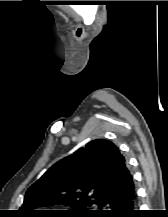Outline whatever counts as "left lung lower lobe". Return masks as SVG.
Instances as JSON below:
<instances>
[{
  "label": "left lung lower lobe",
  "mask_w": 168,
  "mask_h": 217,
  "mask_svg": "<svg viewBox=\"0 0 168 217\" xmlns=\"http://www.w3.org/2000/svg\"><path fill=\"white\" fill-rule=\"evenodd\" d=\"M103 205H107L109 210L100 211L99 216L138 217L140 213L137 210V196L133 179L131 178L123 188L110 195Z\"/></svg>",
  "instance_id": "obj_1"
}]
</instances>
